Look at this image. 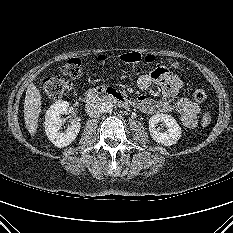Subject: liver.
I'll list each match as a JSON object with an SVG mask.
<instances>
[{
    "instance_id": "obj_1",
    "label": "liver",
    "mask_w": 233,
    "mask_h": 233,
    "mask_svg": "<svg viewBox=\"0 0 233 233\" xmlns=\"http://www.w3.org/2000/svg\"><path fill=\"white\" fill-rule=\"evenodd\" d=\"M41 94L36 86L31 83L26 90L24 102V120L29 133L33 136L38 128V118L41 112Z\"/></svg>"
}]
</instances>
